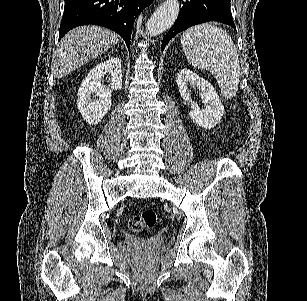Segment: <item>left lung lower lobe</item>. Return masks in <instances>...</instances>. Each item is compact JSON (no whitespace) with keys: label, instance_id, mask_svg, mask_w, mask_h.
I'll use <instances>...</instances> for the list:
<instances>
[{"label":"left lung lower lobe","instance_id":"obj_1","mask_svg":"<svg viewBox=\"0 0 307 301\" xmlns=\"http://www.w3.org/2000/svg\"><path fill=\"white\" fill-rule=\"evenodd\" d=\"M182 9L170 31L164 36L161 50L179 32L208 21H217L235 28L230 12L231 0H180Z\"/></svg>","mask_w":307,"mask_h":301}]
</instances>
